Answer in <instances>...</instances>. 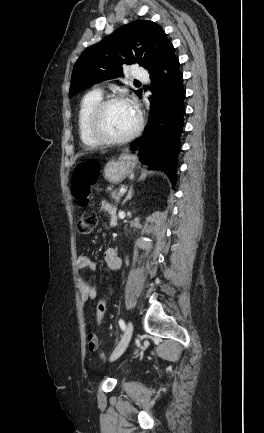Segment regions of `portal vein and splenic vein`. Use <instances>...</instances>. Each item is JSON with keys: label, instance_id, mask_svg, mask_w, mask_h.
I'll return each instance as SVG.
<instances>
[{"label": "portal vein and splenic vein", "instance_id": "1", "mask_svg": "<svg viewBox=\"0 0 264 433\" xmlns=\"http://www.w3.org/2000/svg\"><path fill=\"white\" fill-rule=\"evenodd\" d=\"M127 191V189L125 188V187H122L121 189H120V193H125Z\"/></svg>", "mask_w": 264, "mask_h": 433}]
</instances>
